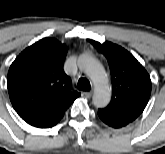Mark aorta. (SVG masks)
Returning a JSON list of instances; mask_svg holds the SVG:
<instances>
[{"label":"aorta","mask_w":165,"mask_h":154,"mask_svg":"<svg viewBox=\"0 0 165 154\" xmlns=\"http://www.w3.org/2000/svg\"><path fill=\"white\" fill-rule=\"evenodd\" d=\"M78 67L95 84L93 104L98 108L107 106L111 99V91L109 79L103 66L91 55L84 54L78 58Z\"/></svg>","instance_id":"1"}]
</instances>
